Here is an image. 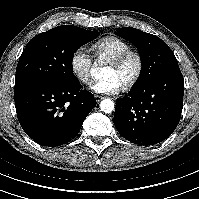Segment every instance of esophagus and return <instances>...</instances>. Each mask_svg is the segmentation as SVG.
<instances>
[{"label": "esophagus", "mask_w": 199, "mask_h": 199, "mask_svg": "<svg viewBox=\"0 0 199 199\" xmlns=\"http://www.w3.org/2000/svg\"><path fill=\"white\" fill-rule=\"evenodd\" d=\"M94 98H95L97 103H99L103 99V97L99 96V95H94Z\"/></svg>", "instance_id": "1"}]
</instances>
